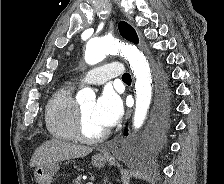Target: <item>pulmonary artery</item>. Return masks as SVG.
Instances as JSON below:
<instances>
[{"label": "pulmonary artery", "instance_id": "pulmonary-artery-1", "mask_svg": "<svg viewBox=\"0 0 224 184\" xmlns=\"http://www.w3.org/2000/svg\"><path fill=\"white\" fill-rule=\"evenodd\" d=\"M125 74L121 64L117 61H112L98 68L82 74L79 79L88 84L102 85L106 81L114 77H122Z\"/></svg>", "mask_w": 224, "mask_h": 184}]
</instances>
